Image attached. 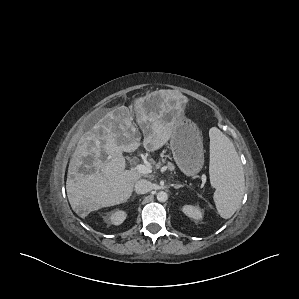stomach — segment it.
Wrapping results in <instances>:
<instances>
[{
	"label": "stomach",
	"mask_w": 299,
	"mask_h": 299,
	"mask_svg": "<svg viewBox=\"0 0 299 299\" xmlns=\"http://www.w3.org/2000/svg\"><path fill=\"white\" fill-rule=\"evenodd\" d=\"M170 148L179 169L194 176L204 165L203 140L198 127L185 116L173 120Z\"/></svg>",
	"instance_id": "stomach-1"
}]
</instances>
